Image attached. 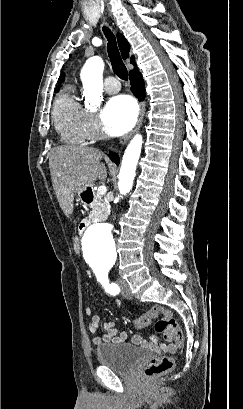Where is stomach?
I'll return each instance as SVG.
<instances>
[{
	"label": "stomach",
	"instance_id": "obj_1",
	"mask_svg": "<svg viewBox=\"0 0 243 409\" xmlns=\"http://www.w3.org/2000/svg\"><path fill=\"white\" fill-rule=\"evenodd\" d=\"M75 192L78 194V196H81L82 193L84 192V189L80 188V189H77Z\"/></svg>",
	"mask_w": 243,
	"mask_h": 409
}]
</instances>
